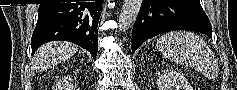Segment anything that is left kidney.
Wrapping results in <instances>:
<instances>
[{
    "label": "left kidney",
    "mask_w": 237,
    "mask_h": 90,
    "mask_svg": "<svg viewBox=\"0 0 237 90\" xmlns=\"http://www.w3.org/2000/svg\"><path fill=\"white\" fill-rule=\"evenodd\" d=\"M157 86L159 90H192L188 80L174 70L159 72Z\"/></svg>",
    "instance_id": "obj_1"
}]
</instances>
